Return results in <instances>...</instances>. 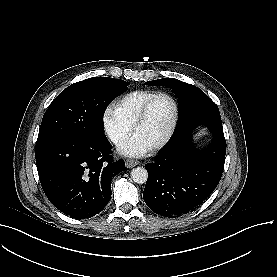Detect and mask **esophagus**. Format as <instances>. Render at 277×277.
<instances>
[{
	"label": "esophagus",
	"mask_w": 277,
	"mask_h": 277,
	"mask_svg": "<svg viewBox=\"0 0 277 277\" xmlns=\"http://www.w3.org/2000/svg\"><path fill=\"white\" fill-rule=\"evenodd\" d=\"M139 161H136V160H127L125 165L127 168H133L135 167L136 165H139Z\"/></svg>",
	"instance_id": "34e87169"
}]
</instances>
